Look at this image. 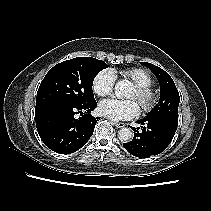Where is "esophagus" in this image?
I'll list each match as a JSON object with an SVG mask.
<instances>
[{
	"mask_svg": "<svg viewBox=\"0 0 211 211\" xmlns=\"http://www.w3.org/2000/svg\"><path fill=\"white\" fill-rule=\"evenodd\" d=\"M113 124L115 125V127L117 128H123L125 127V124L122 122H113Z\"/></svg>",
	"mask_w": 211,
	"mask_h": 211,
	"instance_id": "obj_1",
	"label": "esophagus"
}]
</instances>
